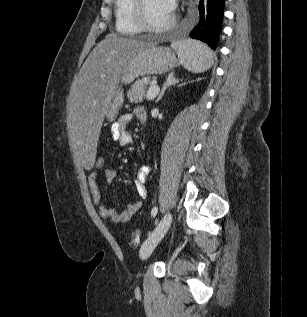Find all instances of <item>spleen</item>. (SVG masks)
<instances>
[{"instance_id": "spleen-1", "label": "spleen", "mask_w": 307, "mask_h": 317, "mask_svg": "<svg viewBox=\"0 0 307 317\" xmlns=\"http://www.w3.org/2000/svg\"><path fill=\"white\" fill-rule=\"evenodd\" d=\"M176 50L180 63L185 69L193 73H201L210 67L212 52L203 43L184 40L172 44Z\"/></svg>"}]
</instances>
